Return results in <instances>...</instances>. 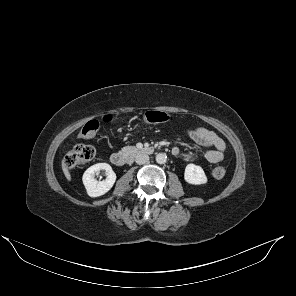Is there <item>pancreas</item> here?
Wrapping results in <instances>:
<instances>
[{"label":"pancreas","instance_id":"obj_1","mask_svg":"<svg viewBox=\"0 0 296 296\" xmlns=\"http://www.w3.org/2000/svg\"><path fill=\"white\" fill-rule=\"evenodd\" d=\"M121 151L125 154H132V153H137L138 149L134 146H126V147H123Z\"/></svg>","mask_w":296,"mask_h":296}]
</instances>
